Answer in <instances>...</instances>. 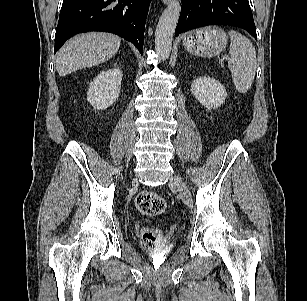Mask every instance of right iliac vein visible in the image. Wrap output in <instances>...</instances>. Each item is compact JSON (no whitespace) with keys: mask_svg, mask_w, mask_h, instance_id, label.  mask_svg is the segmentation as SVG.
Segmentation results:
<instances>
[{"mask_svg":"<svg viewBox=\"0 0 307 301\" xmlns=\"http://www.w3.org/2000/svg\"><path fill=\"white\" fill-rule=\"evenodd\" d=\"M137 180L136 179H132V182H136Z\"/></svg>","mask_w":307,"mask_h":301,"instance_id":"63e3f726","label":"right iliac vein"}]
</instances>
